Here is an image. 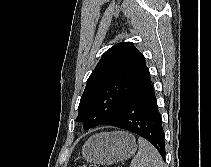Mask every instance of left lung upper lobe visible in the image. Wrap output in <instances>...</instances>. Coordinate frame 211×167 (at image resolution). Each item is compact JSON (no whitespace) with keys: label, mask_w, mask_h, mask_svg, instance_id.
Masks as SVG:
<instances>
[{"label":"left lung upper lobe","mask_w":211,"mask_h":167,"mask_svg":"<svg viewBox=\"0 0 211 167\" xmlns=\"http://www.w3.org/2000/svg\"><path fill=\"white\" fill-rule=\"evenodd\" d=\"M151 82L145 57L132 42L108 49L87 80L78 107L77 121L84 129L102 125Z\"/></svg>","instance_id":"1"}]
</instances>
